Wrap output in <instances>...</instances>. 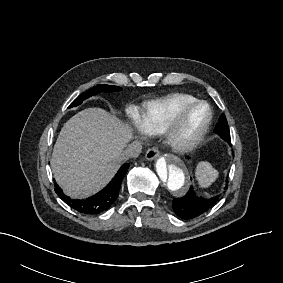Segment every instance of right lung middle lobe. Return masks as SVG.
Segmentation results:
<instances>
[{
    "label": "right lung middle lobe",
    "instance_id": "obj_1",
    "mask_svg": "<svg viewBox=\"0 0 283 283\" xmlns=\"http://www.w3.org/2000/svg\"><path fill=\"white\" fill-rule=\"evenodd\" d=\"M121 90L120 87L117 86H112V85H105V84H98L96 86H94L93 88L87 90L85 93H82L81 95H79L70 105L69 108L73 107V106H78L80 105L83 100H85L86 98L95 95L99 92H113V91H119Z\"/></svg>",
    "mask_w": 283,
    "mask_h": 283
}]
</instances>
